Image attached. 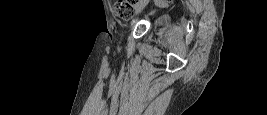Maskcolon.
<instances>
[{"label":"colon","mask_w":267,"mask_h":115,"mask_svg":"<svg viewBox=\"0 0 267 115\" xmlns=\"http://www.w3.org/2000/svg\"><path fill=\"white\" fill-rule=\"evenodd\" d=\"M115 13L123 21H129L133 18V6L127 1H117L114 6Z\"/></svg>","instance_id":"5ec220e1"}]
</instances>
